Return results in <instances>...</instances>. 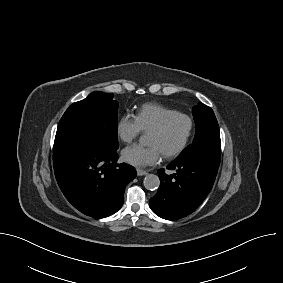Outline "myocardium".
<instances>
[{"label":"myocardium","mask_w":283,"mask_h":283,"mask_svg":"<svg viewBox=\"0 0 283 283\" xmlns=\"http://www.w3.org/2000/svg\"><path fill=\"white\" fill-rule=\"evenodd\" d=\"M177 118H182V119H185L187 121L188 131H187V134H186L184 140L181 142V144L178 147H176L172 151L162 153L163 156L166 157V158H173V157L178 156L188 146V144L191 140V137L193 135V131H194V122H193L192 117L189 116L188 114H185V113H182V112H176V113L170 114L167 117H165L158 125H156L154 128H152L149 131V132H155V133H162L166 130V128L169 126V124Z\"/></svg>","instance_id":"1"}]
</instances>
